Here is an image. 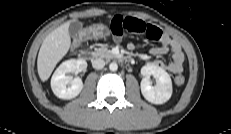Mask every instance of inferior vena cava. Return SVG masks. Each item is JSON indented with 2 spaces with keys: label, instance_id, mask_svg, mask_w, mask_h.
Wrapping results in <instances>:
<instances>
[{
  "label": "inferior vena cava",
  "instance_id": "obj_1",
  "mask_svg": "<svg viewBox=\"0 0 231 134\" xmlns=\"http://www.w3.org/2000/svg\"><path fill=\"white\" fill-rule=\"evenodd\" d=\"M92 66L95 69H102L105 66V61L101 58H96L92 60Z\"/></svg>",
  "mask_w": 231,
  "mask_h": 134
}]
</instances>
